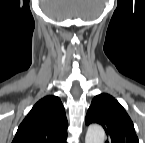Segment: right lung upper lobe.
<instances>
[{"mask_svg":"<svg viewBox=\"0 0 145 143\" xmlns=\"http://www.w3.org/2000/svg\"><path fill=\"white\" fill-rule=\"evenodd\" d=\"M68 122L56 96L39 100L22 123L12 143H66Z\"/></svg>","mask_w":145,"mask_h":143,"instance_id":"obj_1","label":"right lung upper lobe"}]
</instances>
